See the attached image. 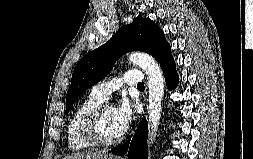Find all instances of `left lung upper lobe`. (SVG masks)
<instances>
[{
  "label": "left lung upper lobe",
  "mask_w": 253,
  "mask_h": 159,
  "mask_svg": "<svg viewBox=\"0 0 253 159\" xmlns=\"http://www.w3.org/2000/svg\"><path fill=\"white\" fill-rule=\"evenodd\" d=\"M170 50L163 31L150 19L138 17L131 24L122 26L107 43L85 55L76 65L66 95L65 113L86 89L110 73L123 54L143 51L162 66L172 56Z\"/></svg>",
  "instance_id": "1"
}]
</instances>
